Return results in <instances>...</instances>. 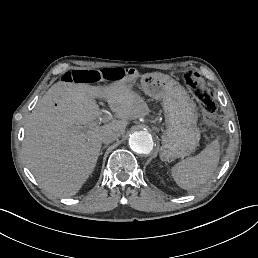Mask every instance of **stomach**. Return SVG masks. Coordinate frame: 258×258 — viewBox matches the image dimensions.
Wrapping results in <instances>:
<instances>
[{
    "instance_id": "stomach-1",
    "label": "stomach",
    "mask_w": 258,
    "mask_h": 258,
    "mask_svg": "<svg viewBox=\"0 0 258 258\" xmlns=\"http://www.w3.org/2000/svg\"><path fill=\"white\" fill-rule=\"evenodd\" d=\"M132 78L129 87L139 77L129 72ZM125 76V78L127 77ZM141 89L154 99H161L167 129L162 135L160 157L163 161L185 157L193 153L200 140V130L196 127V104L183 86L169 75L152 73L141 76Z\"/></svg>"
}]
</instances>
